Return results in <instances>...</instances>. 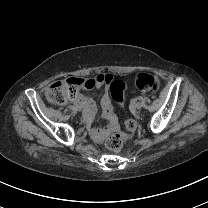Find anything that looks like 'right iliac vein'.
I'll list each match as a JSON object with an SVG mask.
<instances>
[{"label":"right iliac vein","instance_id":"obj_1","mask_svg":"<svg viewBox=\"0 0 208 208\" xmlns=\"http://www.w3.org/2000/svg\"><path fill=\"white\" fill-rule=\"evenodd\" d=\"M77 111H82V107L81 106H76Z\"/></svg>","mask_w":208,"mask_h":208}]
</instances>
